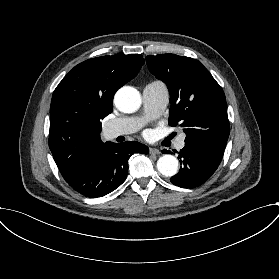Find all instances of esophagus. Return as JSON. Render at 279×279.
Instances as JSON below:
<instances>
[{"label": "esophagus", "instance_id": "34e87169", "mask_svg": "<svg viewBox=\"0 0 279 279\" xmlns=\"http://www.w3.org/2000/svg\"><path fill=\"white\" fill-rule=\"evenodd\" d=\"M150 155L156 156L160 154V151L157 148L150 147L149 148Z\"/></svg>", "mask_w": 279, "mask_h": 279}]
</instances>
